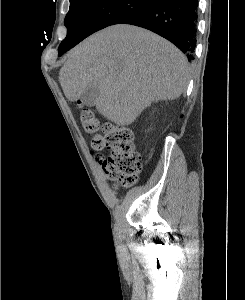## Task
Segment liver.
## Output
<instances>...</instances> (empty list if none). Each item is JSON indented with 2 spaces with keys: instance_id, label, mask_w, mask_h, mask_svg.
<instances>
[{
  "instance_id": "1",
  "label": "liver",
  "mask_w": 245,
  "mask_h": 300,
  "mask_svg": "<svg viewBox=\"0 0 245 300\" xmlns=\"http://www.w3.org/2000/svg\"><path fill=\"white\" fill-rule=\"evenodd\" d=\"M188 76L187 59L172 43L146 29L117 24L73 48L59 81L71 102L96 85L97 111L123 126L133 123L152 102L177 99Z\"/></svg>"
}]
</instances>
